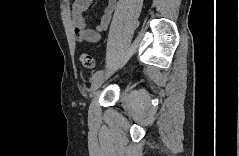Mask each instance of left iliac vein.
Wrapping results in <instances>:
<instances>
[{"instance_id": "left-iliac-vein-1", "label": "left iliac vein", "mask_w": 239, "mask_h": 156, "mask_svg": "<svg viewBox=\"0 0 239 156\" xmlns=\"http://www.w3.org/2000/svg\"><path fill=\"white\" fill-rule=\"evenodd\" d=\"M110 75H111V73L101 74L95 80H93L92 87H91V92H90L91 97H93L95 95L97 89L104 83V81L106 79L109 78Z\"/></svg>"}]
</instances>
